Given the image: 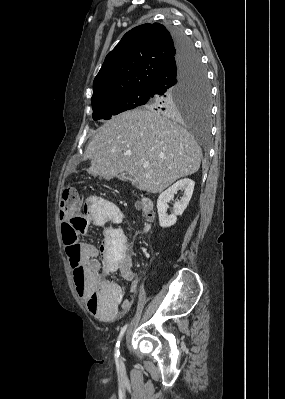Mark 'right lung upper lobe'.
<instances>
[{
  "mask_svg": "<svg viewBox=\"0 0 285 399\" xmlns=\"http://www.w3.org/2000/svg\"><path fill=\"white\" fill-rule=\"evenodd\" d=\"M176 53L171 32L162 24L133 28L106 56L94 79L91 100L131 89H150Z\"/></svg>",
  "mask_w": 285,
  "mask_h": 399,
  "instance_id": "cb5924a9",
  "label": "right lung upper lobe"
}]
</instances>
